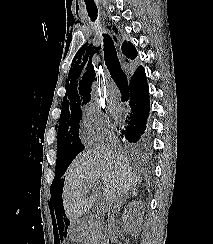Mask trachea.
<instances>
[{"label": "trachea", "instance_id": "trachea-1", "mask_svg": "<svg viewBox=\"0 0 213 244\" xmlns=\"http://www.w3.org/2000/svg\"><path fill=\"white\" fill-rule=\"evenodd\" d=\"M89 14L94 18L97 17V8H90ZM104 57L107 69L110 72L112 79L115 81L121 93H128V81L127 77L121 69L114 42L108 34H104Z\"/></svg>", "mask_w": 213, "mask_h": 244}]
</instances>
